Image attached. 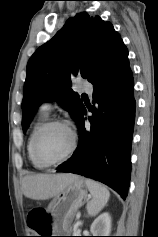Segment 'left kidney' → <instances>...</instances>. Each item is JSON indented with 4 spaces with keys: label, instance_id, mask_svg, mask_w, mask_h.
I'll return each mask as SVG.
<instances>
[{
    "label": "left kidney",
    "instance_id": "obj_1",
    "mask_svg": "<svg viewBox=\"0 0 158 237\" xmlns=\"http://www.w3.org/2000/svg\"><path fill=\"white\" fill-rule=\"evenodd\" d=\"M90 231L93 236H110L111 216L105 212L98 216L91 225Z\"/></svg>",
    "mask_w": 158,
    "mask_h": 237
}]
</instances>
